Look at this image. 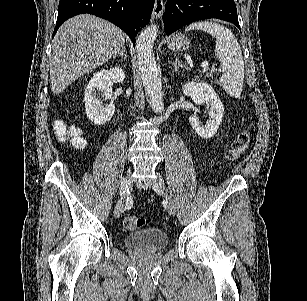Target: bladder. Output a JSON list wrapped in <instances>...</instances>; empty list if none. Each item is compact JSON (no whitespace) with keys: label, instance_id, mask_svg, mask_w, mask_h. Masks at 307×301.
Segmentation results:
<instances>
[{"label":"bladder","instance_id":"31cf9c89","mask_svg":"<svg viewBox=\"0 0 307 301\" xmlns=\"http://www.w3.org/2000/svg\"><path fill=\"white\" fill-rule=\"evenodd\" d=\"M123 242L137 249L161 250L166 249L169 238L158 228H147L142 232H134L123 237Z\"/></svg>","mask_w":307,"mask_h":301}]
</instances>
